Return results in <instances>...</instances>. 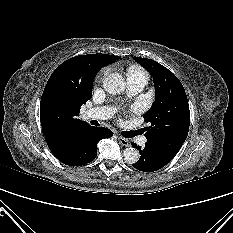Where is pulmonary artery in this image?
Segmentation results:
<instances>
[{"mask_svg":"<svg viewBox=\"0 0 233 233\" xmlns=\"http://www.w3.org/2000/svg\"><path fill=\"white\" fill-rule=\"evenodd\" d=\"M147 80L143 77H128L127 78V88L129 95H135L139 93L146 85ZM112 109L107 107H96L88 109L84 112L85 119H96L103 120L112 116ZM140 143H145L146 138L141 137Z\"/></svg>","mask_w":233,"mask_h":233,"instance_id":"obj_1","label":"pulmonary artery"}]
</instances>
